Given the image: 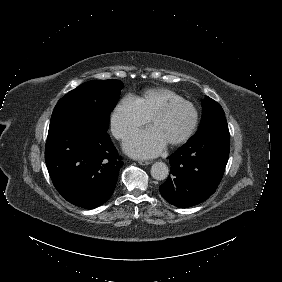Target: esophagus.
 I'll return each mask as SVG.
<instances>
[{
	"label": "esophagus",
	"instance_id": "34e87169",
	"mask_svg": "<svg viewBox=\"0 0 282 282\" xmlns=\"http://www.w3.org/2000/svg\"><path fill=\"white\" fill-rule=\"evenodd\" d=\"M138 163H139L140 165H143V166H146V165L151 164V162L145 161V160H139Z\"/></svg>",
	"mask_w": 282,
	"mask_h": 282
}]
</instances>
